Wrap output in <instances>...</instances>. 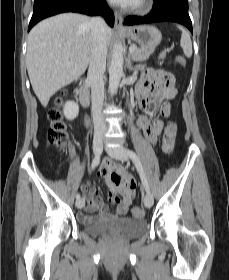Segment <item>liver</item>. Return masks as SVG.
I'll return each mask as SVG.
<instances>
[{"label": "liver", "instance_id": "liver-1", "mask_svg": "<svg viewBox=\"0 0 229 280\" xmlns=\"http://www.w3.org/2000/svg\"><path fill=\"white\" fill-rule=\"evenodd\" d=\"M112 30H105L106 45ZM90 18L64 13L38 23L29 33L26 66L32 88L43 107L61 88L86 71L92 52Z\"/></svg>", "mask_w": 229, "mask_h": 280}]
</instances>
